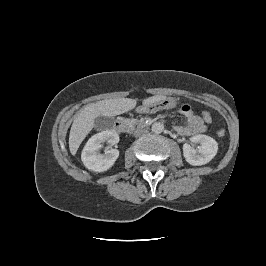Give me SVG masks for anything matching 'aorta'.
Masks as SVG:
<instances>
[{"instance_id":"aorta-1","label":"aorta","mask_w":266,"mask_h":266,"mask_svg":"<svg viewBox=\"0 0 266 266\" xmlns=\"http://www.w3.org/2000/svg\"><path fill=\"white\" fill-rule=\"evenodd\" d=\"M151 130L155 134H160L164 130V125L160 122H155V123H153Z\"/></svg>"}]
</instances>
